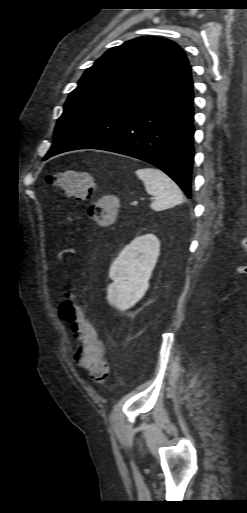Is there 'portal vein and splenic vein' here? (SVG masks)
I'll use <instances>...</instances> for the list:
<instances>
[{"instance_id": "portal-vein-and-splenic-vein-1", "label": "portal vein and splenic vein", "mask_w": 247, "mask_h": 513, "mask_svg": "<svg viewBox=\"0 0 247 513\" xmlns=\"http://www.w3.org/2000/svg\"><path fill=\"white\" fill-rule=\"evenodd\" d=\"M137 203H138L137 201L132 202L133 205H136Z\"/></svg>"}]
</instances>
